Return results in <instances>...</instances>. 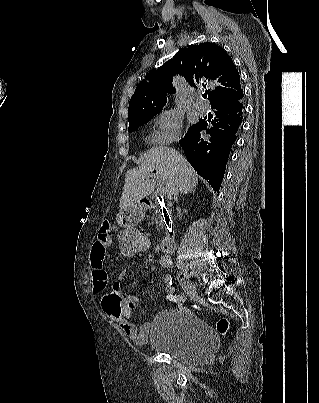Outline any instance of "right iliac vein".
Segmentation results:
<instances>
[{
  "mask_svg": "<svg viewBox=\"0 0 319 403\" xmlns=\"http://www.w3.org/2000/svg\"><path fill=\"white\" fill-rule=\"evenodd\" d=\"M180 284L184 291L191 297V298H196L197 296V291L195 286L186 278L180 276Z\"/></svg>",
  "mask_w": 319,
  "mask_h": 403,
  "instance_id": "63e3f726",
  "label": "right iliac vein"
}]
</instances>
